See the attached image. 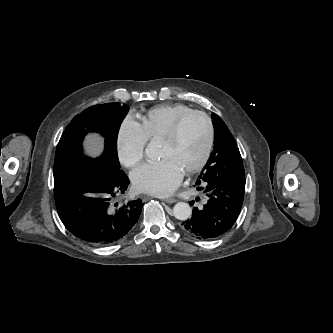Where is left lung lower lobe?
<instances>
[{
  "label": "left lung lower lobe",
  "mask_w": 333,
  "mask_h": 333,
  "mask_svg": "<svg viewBox=\"0 0 333 333\" xmlns=\"http://www.w3.org/2000/svg\"><path fill=\"white\" fill-rule=\"evenodd\" d=\"M245 182V178L221 179L210 172L200 174L195 186L208 196V201L203 207L193 208L192 217L182 223L183 228L198 239H213L227 232L240 214Z\"/></svg>",
  "instance_id": "obj_1"
}]
</instances>
